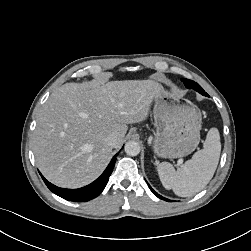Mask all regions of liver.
I'll return each instance as SVG.
<instances>
[{"instance_id": "liver-1", "label": "liver", "mask_w": 251, "mask_h": 251, "mask_svg": "<svg viewBox=\"0 0 251 251\" xmlns=\"http://www.w3.org/2000/svg\"><path fill=\"white\" fill-rule=\"evenodd\" d=\"M162 86L153 80L66 83L42 106L33 135L36 164L52 183L79 188L103 171L127 124L144 121ZM117 135L110 147L105 139Z\"/></svg>"}]
</instances>
